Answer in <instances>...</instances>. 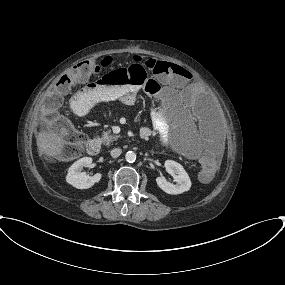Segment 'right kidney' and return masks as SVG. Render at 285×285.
<instances>
[{
	"instance_id": "right-kidney-1",
	"label": "right kidney",
	"mask_w": 285,
	"mask_h": 285,
	"mask_svg": "<svg viewBox=\"0 0 285 285\" xmlns=\"http://www.w3.org/2000/svg\"><path fill=\"white\" fill-rule=\"evenodd\" d=\"M91 157H83L74 162L68 169L66 181L77 189H88L95 183H98L102 177L101 173H96L94 176H89L86 172H81L83 167L90 168L92 165Z\"/></svg>"
}]
</instances>
